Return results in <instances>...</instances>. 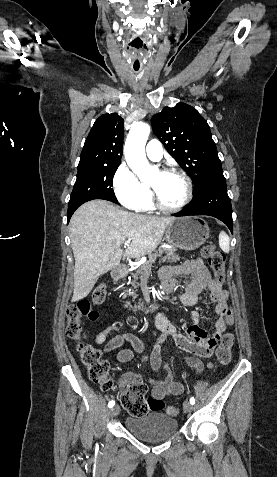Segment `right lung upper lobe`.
I'll return each instance as SVG.
<instances>
[{
  "label": "right lung upper lobe",
  "instance_id": "1",
  "mask_svg": "<svg viewBox=\"0 0 277 477\" xmlns=\"http://www.w3.org/2000/svg\"><path fill=\"white\" fill-rule=\"evenodd\" d=\"M123 123L116 113L104 114L95 121L84 143L78 169L120 164Z\"/></svg>",
  "mask_w": 277,
  "mask_h": 477
}]
</instances>
